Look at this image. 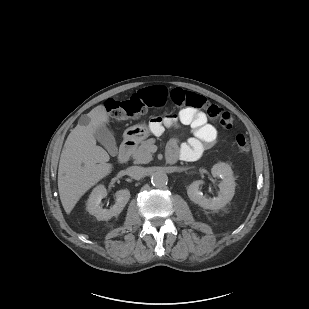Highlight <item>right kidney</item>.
Instances as JSON below:
<instances>
[{
  "instance_id": "ca27d5eb",
  "label": "right kidney",
  "mask_w": 309,
  "mask_h": 309,
  "mask_svg": "<svg viewBox=\"0 0 309 309\" xmlns=\"http://www.w3.org/2000/svg\"><path fill=\"white\" fill-rule=\"evenodd\" d=\"M107 196L104 185L96 186L87 201V211L94 215L97 220H109L113 216L119 215L130 199V191L122 189L115 193L116 203L110 209H103L100 202Z\"/></svg>"
}]
</instances>
